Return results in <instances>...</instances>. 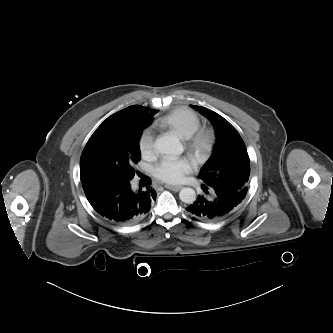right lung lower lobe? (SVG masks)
Wrapping results in <instances>:
<instances>
[{
    "instance_id": "obj_1",
    "label": "right lung lower lobe",
    "mask_w": 333,
    "mask_h": 333,
    "mask_svg": "<svg viewBox=\"0 0 333 333\" xmlns=\"http://www.w3.org/2000/svg\"><path fill=\"white\" fill-rule=\"evenodd\" d=\"M82 186L92 207L115 224L136 223L156 199V192L148 186L145 191H133L130 180L95 179L83 181Z\"/></svg>"
}]
</instances>
